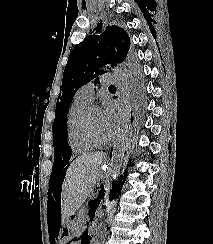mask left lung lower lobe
I'll use <instances>...</instances> for the list:
<instances>
[{
    "label": "left lung lower lobe",
    "instance_id": "left-lung-lower-lobe-1",
    "mask_svg": "<svg viewBox=\"0 0 213 244\" xmlns=\"http://www.w3.org/2000/svg\"><path fill=\"white\" fill-rule=\"evenodd\" d=\"M131 116H133V117H131V121L132 122L134 121L136 126H139V124L141 123V119L143 117V108H142V106H138L133 112L131 111ZM126 176L127 175L125 173L124 177L126 178ZM119 181H120V179H119ZM119 181H118V183L116 185H113V190L115 189V187L118 186ZM101 191H103V192L100 193L99 196L95 200L90 202V205H89L90 206V216L92 214H94V211L96 210V208L98 207V205L100 203V199H102L104 197L103 187H102Z\"/></svg>",
    "mask_w": 213,
    "mask_h": 244
}]
</instances>
